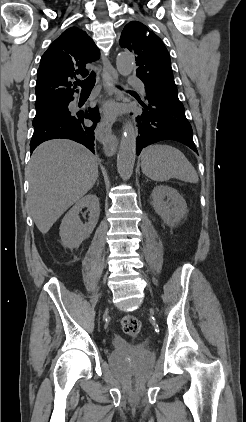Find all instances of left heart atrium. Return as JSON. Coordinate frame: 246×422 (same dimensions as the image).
I'll return each mask as SVG.
<instances>
[{"label": "left heart atrium", "mask_w": 246, "mask_h": 422, "mask_svg": "<svg viewBox=\"0 0 246 422\" xmlns=\"http://www.w3.org/2000/svg\"><path fill=\"white\" fill-rule=\"evenodd\" d=\"M107 111H108L109 113H113V112H114V108H113L112 106H109V107L107 108Z\"/></svg>", "instance_id": "left-heart-atrium-1"}]
</instances>
